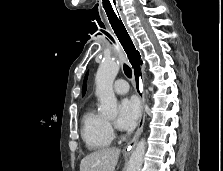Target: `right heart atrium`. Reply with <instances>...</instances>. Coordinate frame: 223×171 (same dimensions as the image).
<instances>
[{
    "label": "right heart atrium",
    "instance_id": "d8ad5b80",
    "mask_svg": "<svg viewBox=\"0 0 223 171\" xmlns=\"http://www.w3.org/2000/svg\"><path fill=\"white\" fill-rule=\"evenodd\" d=\"M109 128H110V130H111V132H112V128H111V126L109 125Z\"/></svg>",
    "mask_w": 223,
    "mask_h": 171
}]
</instances>
